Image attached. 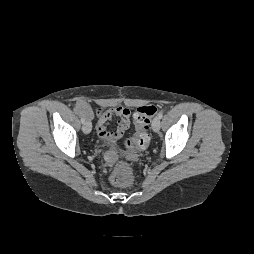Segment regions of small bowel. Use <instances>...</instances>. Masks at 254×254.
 I'll return each instance as SVG.
<instances>
[{"mask_svg":"<svg viewBox=\"0 0 254 254\" xmlns=\"http://www.w3.org/2000/svg\"><path fill=\"white\" fill-rule=\"evenodd\" d=\"M76 110L84 119H92L94 116L90 105L85 100H79L76 103ZM114 117L118 118L117 128L109 131L106 128V124ZM130 124L131 111L124 106L118 105L113 108L99 109L97 111L96 132L105 141L115 142L120 139L128 130Z\"/></svg>","mask_w":254,"mask_h":254,"instance_id":"c3829d8e","label":"small bowel"}]
</instances>
